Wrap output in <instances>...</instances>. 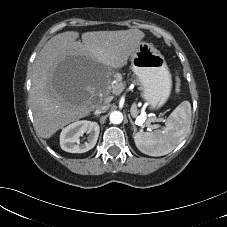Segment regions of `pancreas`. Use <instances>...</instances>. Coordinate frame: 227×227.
Returning a JSON list of instances; mask_svg holds the SVG:
<instances>
[{
  "label": "pancreas",
  "instance_id": "obj_1",
  "mask_svg": "<svg viewBox=\"0 0 227 227\" xmlns=\"http://www.w3.org/2000/svg\"><path fill=\"white\" fill-rule=\"evenodd\" d=\"M135 84H137V85H139V81L138 80H132ZM120 84V86H121V89H123L124 88V84H122V83H119ZM119 84H117V85H119Z\"/></svg>",
  "mask_w": 227,
  "mask_h": 227
}]
</instances>
